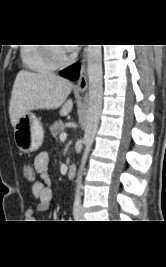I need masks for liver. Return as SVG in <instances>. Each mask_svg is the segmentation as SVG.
Instances as JSON below:
<instances>
[{
  "label": "liver",
  "mask_w": 166,
  "mask_h": 267,
  "mask_svg": "<svg viewBox=\"0 0 166 267\" xmlns=\"http://www.w3.org/2000/svg\"><path fill=\"white\" fill-rule=\"evenodd\" d=\"M73 86L67 80L53 73H33L21 70L14 81L9 103L12 126L31 110L60 109L66 116L73 107L71 99L66 100Z\"/></svg>",
  "instance_id": "obj_1"
}]
</instances>
